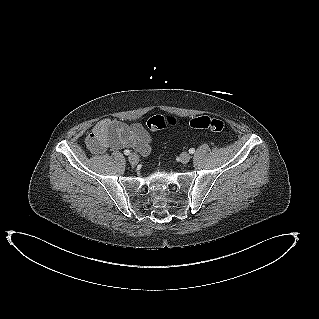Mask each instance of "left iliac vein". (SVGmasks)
<instances>
[{
	"instance_id": "4c4485c4",
	"label": "left iliac vein",
	"mask_w": 319,
	"mask_h": 319,
	"mask_svg": "<svg viewBox=\"0 0 319 319\" xmlns=\"http://www.w3.org/2000/svg\"><path fill=\"white\" fill-rule=\"evenodd\" d=\"M190 158H191V156L188 152H183L180 155V161L183 164H187L189 162Z\"/></svg>"
}]
</instances>
